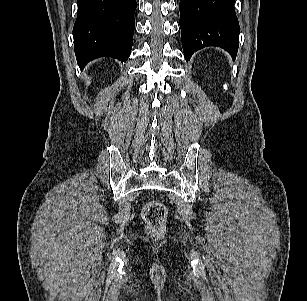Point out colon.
<instances>
[{"mask_svg":"<svg viewBox=\"0 0 307 301\" xmlns=\"http://www.w3.org/2000/svg\"><path fill=\"white\" fill-rule=\"evenodd\" d=\"M167 210L159 201H150L143 209V218L150 227V232L154 236H160L165 228Z\"/></svg>","mask_w":307,"mask_h":301,"instance_id":"1","label":"colon"}]
</instances>
